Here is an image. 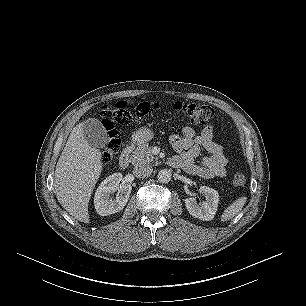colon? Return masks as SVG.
Masks as SVG:
<instances>
[{
  "label": "colon",
  "mask_w": 306,
  "mask_h": 306,
  "mask_svg": "<svg viewBox=\"0 0 306 306\" xmlns=\"http://www.w3.org/2000/svg\"><path fill=\"white\" fill-rule=\"evenodd\" d=\"M173 109L184 115L188 120L197 125H203L210 122L214 116L215 111L213 108L207 105L196 103L176 102L173 105ZM149 111V107L145 105H139L134 114L127 110L124 105H119L116 108L105 107L103 109L102 124L107 132V142L102 150V161L107 164L112 159L120 146L119 133L116 128V124L128 125L132 122L133 116L143 117ZM246 181V177L243 172H237L234 176L233 183L235 186H242Z\"/></svg>",
  "instance_id": "1"
}]
</instances>
